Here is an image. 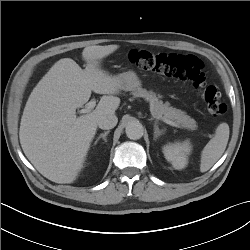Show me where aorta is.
<instances>
[{
	"label": "aorta",
	"mask_w": 250,
	"mask_h": 250,
	"mask_svg": "<svg viewBox=\"0 0 250 250\" xmlns=\"http://www.w3.org/2000/svg\"><path fill=\"white\" fill-rule=\"evenodd\" d=\"M126 135L129 139L137 140L143 136V126L138 121H130L125 128Z\"/></svg>",
	"instance_id": "obj_1"
}]
</instances>
